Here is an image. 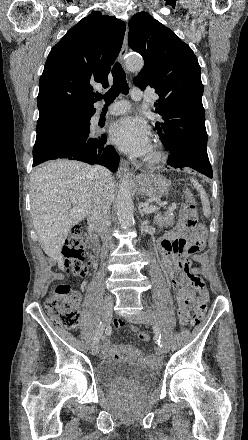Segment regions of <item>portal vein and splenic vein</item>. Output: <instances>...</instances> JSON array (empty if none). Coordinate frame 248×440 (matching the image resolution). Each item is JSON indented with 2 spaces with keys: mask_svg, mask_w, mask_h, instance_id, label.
<instances>
[{
  "mask_svg": "<svg viewBox=\"0 0 248 440\" xmlns=\"http://www.w3.org/2000/svg\"><path fill=\"white\" fill-rule=\"evenodd\" d=\"M140 206L143 208L144 213H153V212L159 210V207L148 205V204L142 203V204H140ZM73 211H80V210L77 208H73Z\"/></svg>",
  "mask_w": 248,
  "mask_h": 440,
  "instance_id": "18ae733b",
  "label": "portal vein and splenic vein"
}]
</instances>
